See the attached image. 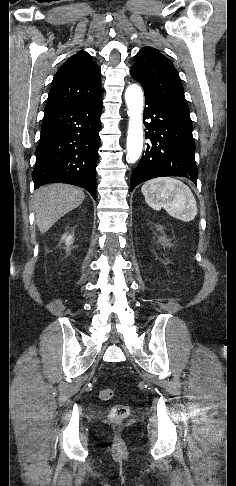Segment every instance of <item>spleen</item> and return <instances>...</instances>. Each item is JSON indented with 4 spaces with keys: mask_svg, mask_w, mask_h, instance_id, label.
Wrapping results in <instances>:
<instances>
[{
    "mask_svg": "<svg viewBox=\"0 0 236 486\" xmlns=\"http://www.w3.org/2000/svg\"><path fill=\"white\" fill-rule=\"evenodd\" d=\"M141 192L146 203L155 210L162 207L172 216L189 222L197 213V203L191 189L183 182L162 177L146 182Z\"/></svg>",
    "mask_w": 236,
    "mask_h": 486,
    "instance_id": "obj_1",
    "label": "spleen"
}]
</instances>
